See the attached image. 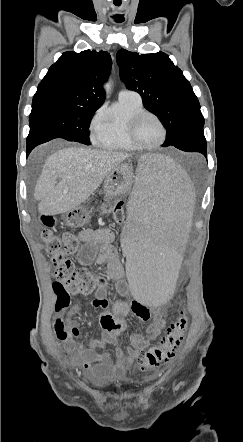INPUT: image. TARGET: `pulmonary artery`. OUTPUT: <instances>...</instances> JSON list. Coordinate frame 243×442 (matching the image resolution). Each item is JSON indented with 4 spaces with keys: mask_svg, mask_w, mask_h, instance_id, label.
I'll list each match as a JSON object with an SVG mask.
<instances>
[{
    "mask_svg": "<svg viewBox=\"0 0 243 442\" xmlns=\"http://www.w3.org/2000/svg\"><path fill=\"white\" fill-rule=\"evenodd\" d=\"M119 99L141 100V96L133 90L124 89L120 91Z\"/></svg>",
    "mask_w": 243,
    "mask_h": 442,
    "instance_id": "e3ab8cb5",
    "label": "pulmonary artery"
}]
</instances>
